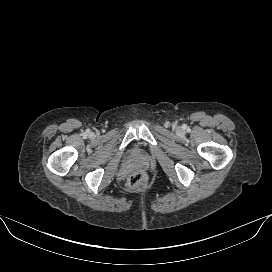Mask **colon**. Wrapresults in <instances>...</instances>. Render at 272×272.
I'll return each instance as SVG.
<instances>
[{
	"label": "colon",
	"mask_w": 272,
	"mask_h": 272,
	"mask_svg": "<svg viewBox=\"0 0 272 272\" xmlns=\"http://www.w3.org/2000/svg\"><path fill=\"white\" fill-rule=\"evenodd\" d=\"M146 183V174L143 170L138 169L133 171L127 180V185L131 189H140L142 188Z\"/></svg>",
	"instance_id": "5ec220e1"
}]
</instances>
